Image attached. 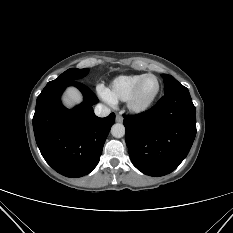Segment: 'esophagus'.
<instances>
[{"instance_id":"1","label":"esophagus","mask_w":233,"mask_h":233,"mask_svg":"<svg viewBox=\"0 0 233 233\" xmlns=\"http://www.w3.org/2000/svg\"><path fill=\"white\" fill-rule=\"evenodd\" d=\"M115 120H116V122L121 123V122H123V117L121 115H116Z\"/></svg>"}]
</instances>
